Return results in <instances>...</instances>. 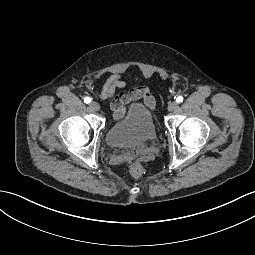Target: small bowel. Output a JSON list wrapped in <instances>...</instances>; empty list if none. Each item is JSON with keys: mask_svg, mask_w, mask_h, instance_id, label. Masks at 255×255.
<instances>
[{"mask_svg": "<svg viewBox=\"0 0 255 255\" xmlns=\"http://www.w3.org/2000/svg\"><path fill=\"white\" fill-rule=\"evenodd\" d=\"M126 86V81L119 73L111 74L102 89L96 93L97 97L103 101L109 102L113 111L115 120L121 118L125 112L128 103L134 100L143 99L144 103L154 109L155 100L149 91L143 86H137L134 89L116 94V91ZM153 155L150 152L143 153L140 149H131L116 154L112 161L117 164L139 163L140 161L152 160Z\"/></svg>", "mask_w": 255, "mask_h": 255, "instance_id": "1", "label": "small bowel"}]
</instances>
